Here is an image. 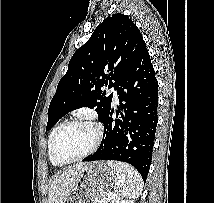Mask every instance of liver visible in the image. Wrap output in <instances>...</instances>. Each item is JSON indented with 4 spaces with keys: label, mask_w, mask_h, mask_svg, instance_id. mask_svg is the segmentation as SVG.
Masks as SVG:
<instances>
[{
    "label": "liver",
    "mask_w": 214,
    "mask_h": 203,
    "mask_svg": "<svg viewBox=\"0 0 214 203\" xmlns=\"http://www.w3.org/2000/svg\"><path fill=\"white\" fill-rule=\"evenodd\" d=\"M83 165L84 163L75 164L52 176L48 191L49 203H63L65 201L76 186Z\"/></svg>",
    "instance_id": "1"
}]
</instances>
